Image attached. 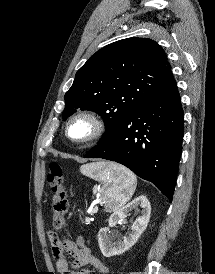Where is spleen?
<instances>
[{"label": "spleen", "instance_id": "3e777b00", "mask_svg": "<svg viewBox=\"0 0 215 274\" xmlns=\"http://www.w3.org/2000/svg\"><path fill=\"white\" fill-rule=\"evenodd\" d=\"M82 174L102 182L98 188L99 200L108 212L116 211L132 197L136 176L127 168L114 163H90L80 167Z\"/></svg>", "mask_w": 215, "mask_h": 274}]
</instances>
